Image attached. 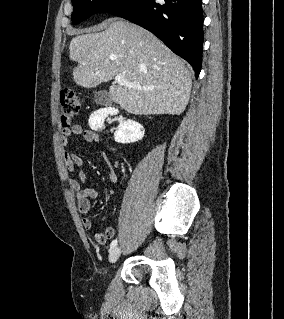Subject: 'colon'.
Segmentation results:
<instances>
[{"label":"colon","instance_id":"5ec220e1","mask_svg":"<svg viewBox=\"0 0 284 319\" xmlns=\"http://www.w3.org/2000/svg\"><path fill=\"white\" fill-rule=\"evenodd\" d=\"M81 109V100L72 90H63L60 94L59 113L63 128L71 126L73 119Z\"/></svg>","mask_w":284,"mask_h":319}]
</instances>
